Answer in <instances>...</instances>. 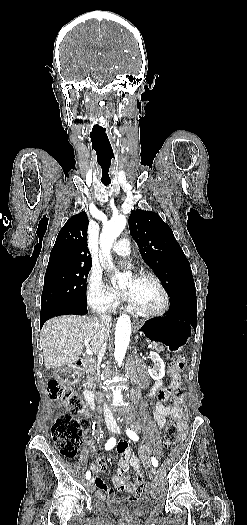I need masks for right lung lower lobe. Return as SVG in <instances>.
I'll use <instances>...</instances> for the list:
<instances>
[{
    "instance_id": "right-lung-lower-lobe-1",
    "label": "right lung lower lobe",
    "mask_w": 247,
    "mask_h": 525,
    "mask_svg": "<svg viewBox=\"0 0 247 525\" xmlns=\"http://www.w3.org/2000/svg\"><path fill=\"white\" fill-rule=\"evenodd\" d=\"M49 315H62V314H77L82 315L87 312V304L76 305V304H67L52 307L48 310ZM52 317V316H51ZM50 317L40 315V327L43 326L44 322Z\"/></svg>"
}]
</instances>
